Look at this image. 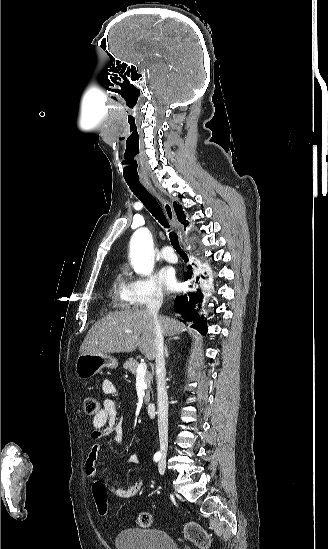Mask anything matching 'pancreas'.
Instances as JSON below:
<instances>
[{"label":"pancreas","mask_w":328,"mask_h":549,"mask_svg":"<svg viewBox=\"0 0 328 549\" xmlns=\"http://www.w3.org/2000/svg\"><path fill=\"white\" fill-rule=\"evenodd\" d=\"M123 367H124V369H127V371H130V373H132V375H136L138 363H137L136 359H128V361H126V363H124ZM152 377H153V375H151L150 371H146V373H145V383H146L148 389H151V383L153 381ZM149 401H150V391H147L146 397H145V405H148Z\"/></svg>","instance_id":"pancreas-1"}]
</instances>
